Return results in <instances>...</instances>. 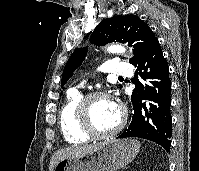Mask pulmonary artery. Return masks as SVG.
I'll use <instances>...</instances> for the list:
<instances>
[{
    "label": "pulmonary artery",
    "instance_id": "1",
    "mask_svg": "<svg viewBox=\"0 0 199 171\" xmlns=\"http://www.w3.org/2000/svg\"><path fill=\"white\" fill-rule=\"evenodd\" d=\"M104 68L112 75L129 76L132 74V67L129 63H124L115 59L109 60L104 65Z\"/></svg>",
    "mask_w": 199,
    "mask_h": 171
}]
</instances>
